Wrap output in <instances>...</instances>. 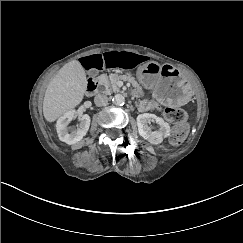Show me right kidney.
<instances>
[{
    "label": "right kidney",
    "instance_id": "1",
    "mask_svg": "<svg viewBox=\"0 0 243 243\" xmlns=\"http://www.w3.org/2000/svg\"><path fill=\"white\" fill-rule=\"evenodd\" d=\"M74 117L75 114L73 112H68L64 116H62L57 122V133L59 140L70 145L77 143L84 136H86L91 122V118L87 114L78 116L77 119L80 122V126L70 132L69 125Z\"/></svg>",
    "mask_w": 243,
    "mask_h": 243
}]
</instances>
